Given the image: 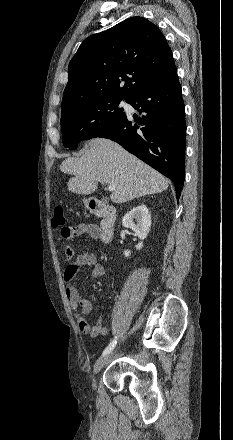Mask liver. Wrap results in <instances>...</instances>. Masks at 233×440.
Returning a JSON list of instances; mask_svg holds the SVG:
<instances>
[{
  "label": "liver",
  "instance_id": "6515ba94",
  "mask_svg": "<svg viewBox=\"0 0 233 440\" xmlns=\"http://www.w3.org/2000/svg\"><path fill=\"white\" fill-rule=\"evenodd\" d=\"M60 170L73 175L67 184L68 190L73 193L92 194L99 181L114 185L116 189L110 195L114 203L161 193L169 186V180L162 174L118 143L104 138L88 141L85 153L79 158L65 159Z\"/></svg>",
  "mask_w": 233,
  "mask_h": 440
}]
</instances>
